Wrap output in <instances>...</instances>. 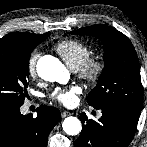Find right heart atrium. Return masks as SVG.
Segmentation results:
<instances>
[{
    "label": "right heart atrium",
    "instance_id": "1",
    "mask_svg": "<svg viewBox=\"0 0 147 147\" xmlns=\"http://www.w3.org/2000/svg\"><path fill=\"white\" fill-rule=\"evenodd\" d=\"M39 56H40V53L38 51H33L29 56L27 68L31 76L36 75V65H37Z\"/></svg>",
    "mask_w": 147,
    "mask_h": 147
}]
</instances>
